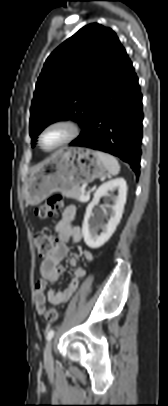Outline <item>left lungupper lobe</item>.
<instances>
[{
  "label": "left lung upper lobe",
  "mask_w": 168,
  "mask_h": 406,
  "mask_svg": "<svg viewBox=\"0 0 168 406\" xmlns=\"http://www.w3.org/2000/svg\"><path fill=\"white\" fill-rule=\"evenodd\" d=\"M125 51L115 32L97 23L81 28L47 58L31 105L30 136L49 124L73 119L82 129Z\"/></svg>",
  "instance_id": "5c2ea615"
}]
</instances>
